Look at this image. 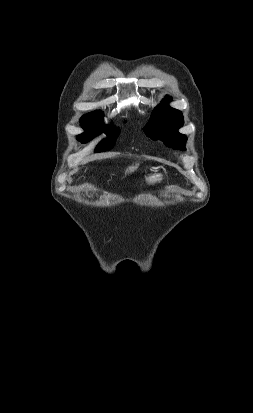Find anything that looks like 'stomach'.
Listing matches in <instances>:
<instances>
[{
    "mask_svg": "<svg viewBox=\"0 0 253 413\" xmlns=\"http://www.w3.org/2000/svg\"><path fill=\"white\" fill-rule=\"evenodd\" d=\"M163 180L162 174L158 172H153L149 176L146 177L147 184L155 185L160 183Z\"/></svg>",
    "mask_w": 253,
    "mask_h": 413,
    "instance_id": "1",
    "label": "stomach"
}]
</instances>
